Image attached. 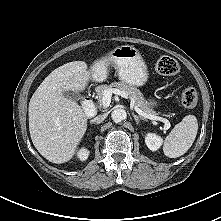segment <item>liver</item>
Listing matches in <instances>:
<instances>
[{
	"label": "liver",
	"instance_id": "liver-1",
	"mask_svg": "<svg viewBox=\"0 0 221 221\" xmlns=\"http://www.w3.org/2000/svg\"><path fill=\"white\" fill-rule=\"evenodd\" d=\"M90 72L84 61L66 63L53 70L29 102V131L38 152L52 163L68 162L87 130V115L66 91L82 92Z\"/></svg>",
	"mask_w": 221,
	"mask_h": 221
}]
</instances>
